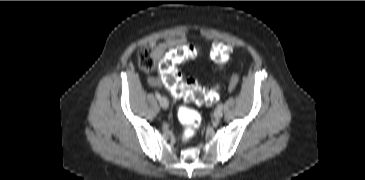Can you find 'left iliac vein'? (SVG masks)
<instances>
[{
  "instance_id": "obj_1",
  "label": "left iliac vein",
  "mask_w": 365,
  "mask_h": 180,
  "mask_svg": "<svg viewBox=\"0 0 365 180\" xmlns=\"http://www.w3.org/2000/svg\"><path fill=\"white\" fill-rule=\"evenodd\" d=\"M223 116V112L221 109L217 108L215 111H214V117L215 119H220L221 117Z\"/></svg>"
}]
</instances>
